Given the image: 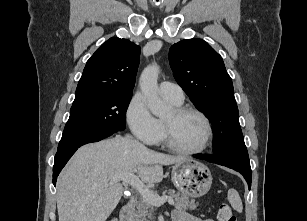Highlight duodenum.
Here are the masks:
<instances>
[{
  "mask_svg": "<svg viewBox=\"0 0 307 221\" xmlns=\"http://www.w3.org/2000/svg\"><path fill=\"white\" fill-rule=\"evenodd\" d=\"M137 198L132 197L121 208L118 221H131L132 213L136 207ZM117 221V220H116Z\"/></svg>",
  "mask_w": 307,
  "mask_h": 221,
  "instance_id": "410a0bca",
  "label": "duodenum"
}]
</instances>
